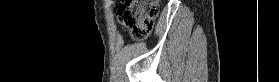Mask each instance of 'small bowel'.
<instances>
[{
  "label": "small bowel",
  "mask_w": 279,
  "mask_h": 82,
  "mask_svg": "<svg viewBox=\"0 0 279 82\" xmlns=\"http://www.w3.org/2000/svg\"><path fill=\"white\" fill-rule=\"evenodd\" d=\"M111 6L115 7L117 4L115 1H110Z\"/></svg>",
  "instance_id": "small-bowel-1"
}]
</instances>
